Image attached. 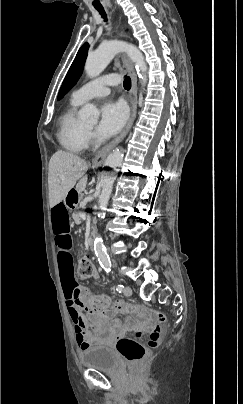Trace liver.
I'll list each match as a JSON object with an SVG mask.
<instances>
[{
  "label": "liver",
  "mask_w": 243,
  "mask_h": 404,
  "mask_svg": "<svg viewBox=\"0 0 243 404\" xmlns=\"http://www.w3.org/2000/svg\"><path fill=\"white\" fill-rule=\"evenodd\" d=\"M89 164L74 156L71 152H62L58 150L52 156L48 168V190L50 208L62 202L68 192L74 188L77 180H80L76 186L77 192H84L87 184V172Z\"/></svg>",
  "instance_id": "liver-1"
}]
</instances>
